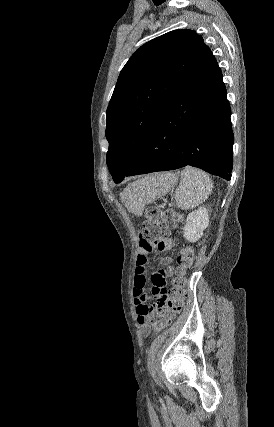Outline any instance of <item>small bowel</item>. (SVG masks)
I'll use <instances>...</instances> for the list:
<instances>
[{
    "mask_svg": "<svg viewBox=\"0 0 274 427\" xmlns=\"http://www.w3.org/2000/svg\"><path fill=\"white\" fill-rule=\"evenodd\" d=\"M138 255L137 262L134 270V285H133V296L135 301V313L137 323L141 329L142 334H149L153 328L152 323L150 322V315L156 314V306L160 305L157 303H149V295L145 292L146 277L145 273L148 271V256L150 251H148V246L141 244L138 246ZM149 250L154 252L168 253L174 250V247L171 244H161L154 245L149 247ZM147 252V254L145 253ZM166 263L171 261L170 257L164 259ZM152 263L154 265H159L161 263V258L159 256H154L152 258ZM169 276V271H164L163 269H154L153 275L147 277V282L153 284L151 291L153 294H158L157 299L159 302H166L168 300V295L170 292L169 282L165 280L164 276Z\"/></svg>",
    "mask_w": 274,
    "mask_h": 427,
    "instance_id": "obj_1",
    "label": "small bowel"
}]
</instances>
